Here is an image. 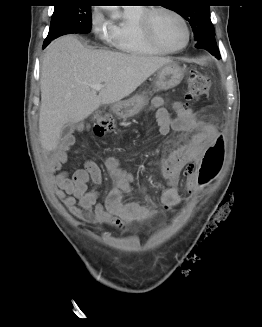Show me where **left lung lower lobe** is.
Masks as SVG:
<instances>
[{"instance_id": "0a47b994", "label": "left lung lower lobe", "mask_w": 262, "mask_h": 327, "mask_svg": "<svg viewBox=\"0 0 262 327\" xmlns=\"http://www.w3.org/2000/svg\"><path fill=\"white\" fill-rule=\"evenodd\" d=\"M196 48H202L208 50L210 53L220 58V53L218 51L215 35H208L201 40L196 42Z\"/></svg>"}]
</instances>
